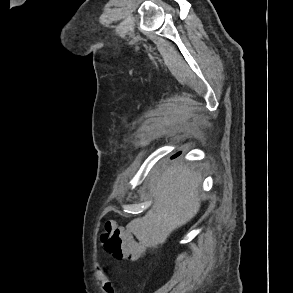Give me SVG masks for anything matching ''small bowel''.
I'll use <instances>...</instances> for the list:
<instances>
[{"instance_id": "small-bowel-1", "label": "small bowel", "mask_w": 293, "mask_h": 293, "mask_svg": "<svg viewBox=\"0 0 293 293\" xmlns=\"http://www.w3.org/2000/svg\"><path fill=\"white\" fill-rule=\"evenodd\" d=\"M95 275L97 279L101 281L105 293H116L114 286L102 268H98L95 272Z\"/></svg>"}]
</instances>
